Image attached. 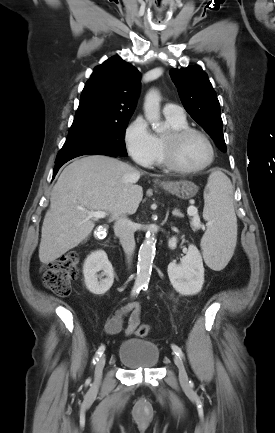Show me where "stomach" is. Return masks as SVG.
<instances>
[{
  "label": "stomach",
  "instance_id": "obj_1",
  "mask_svg": "<svg viewBox=\"0 0 275 433\" xmlns=\"http://www.w3.org/2000/svg\"><path fill=\"white\" fill-rule=\"evenodd\" d=\"M164 190L177 196L181 199L193 198L198 192V186L191 181H179L172 182L169 184H162Z\"/></svg>",
  "mask_w": 275,
  "mask_h": 433
}]
</instances>
